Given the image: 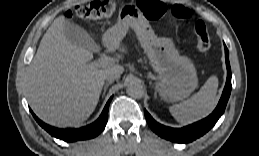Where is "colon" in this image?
Wrapping results in <instances>:
<instances>
[{
  "label": "colon",
  "instance_id": "colon-1",
  "mask_svg": "<svg viewBox=\"0 0 259 156\" xmlns=\"http://www.w3.org/2000/svg\"><path fill=\"white\" fill-rule=\"evenodd\" d=\"M139 9L149 20H158L162 18L167 7L157 0H140L138 2ZM117 6L111 0H95L89 3L81 4L74 7L68 17L73 19H99L112 16L116 12ZM169 14L180 20H189L192 16L191 12L183 6H173L169 10ZM194 33L196 36V48L201 53H206L211 47L208 30L203 21H196L194 24Z\"/></svg>",
  "mask_w": 259,
  "mask_h": 156
}]
</instances>
